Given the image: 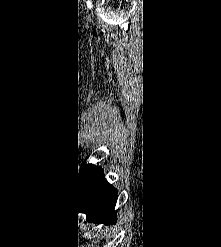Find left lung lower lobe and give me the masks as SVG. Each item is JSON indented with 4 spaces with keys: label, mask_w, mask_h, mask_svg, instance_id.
<instances>
[{
    "label": "left lung lower lobe",
    "mask_w": 221,
    "mask_h": 247,
    "mask_svg": "<svg viewBox=\"0 0 221 247\" xmlns=\"http://www.w3.org/2000/svg\"><path fill=\"white\" fill-rule=\"evenodd\" d=\"M70 200L88 222L114 224L117 190L104 176V170L86 161L75 170L69 188Z\"/></svg>",
    "instance_id": "0a47b994"
}]
</instances>
